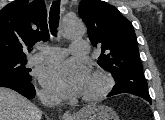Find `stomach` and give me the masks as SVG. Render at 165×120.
I'll list each match as a JSON object with an SVG mask.
<instances>
[{
  "instance_id": "stomach-1",
  "label": "stomach",
  "mask_w": 165,
  "mask_h": 120,
  "mask_svg": "<svg viewBox=\"0 0 165 120\" xmlns=\"http://www.w3.org/2000/svg\"><path fill=\"white\" fill-rule=\"evenodd\" d=\"M75 120H119V116L107 105L94 104L82 109Z\"/></svg>"
}]
</instances>
